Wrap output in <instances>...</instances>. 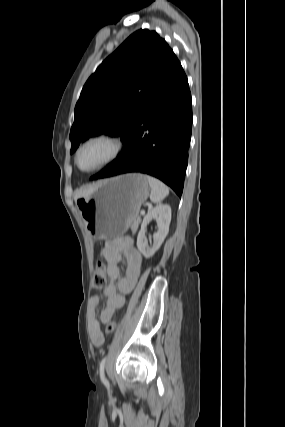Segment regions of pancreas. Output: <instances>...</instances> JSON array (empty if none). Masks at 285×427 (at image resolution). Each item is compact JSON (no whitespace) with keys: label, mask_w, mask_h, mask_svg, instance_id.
<instances>
[{"label":"pancreas","mask_w":285,"mask_h":427,"mask_svg":"<svg viewBox=\"0 0 285 427\" xmlns=\"http://www.w3.org/2000/svg\"><path fill=\"white\" fill-rule=\"evenodd\" d=\"M140 223V218L139 217H137L135 220H134V222L131 224V229H132V231H136L137 230V228H138V224Z\"/></svg>","instance_id":"pancreas-1"}]
</instances>
